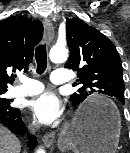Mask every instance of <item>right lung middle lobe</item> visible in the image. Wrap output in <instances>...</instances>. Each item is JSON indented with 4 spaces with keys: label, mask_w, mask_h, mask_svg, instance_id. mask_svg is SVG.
Wrapping results in <instances>:
<instances>
[{
    "label": "right lung middle lobe",
    "mask_w": 130,
    "mask_h": 153,
    "mask_svg": "<svg viewBox=\"0 0 130 153\" xmlns=\"http://www.w3.org/2000/svg\"><path fill=\"white\" fill-rule=\"evenodd\" d=\"M6 91H0V104L9 105L10 101L8 99L2 98L1 95L4 94Z\"/></svg>",
    "instance_id": "dd1d6c3e"
}]
</instances>
